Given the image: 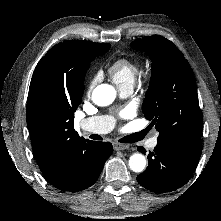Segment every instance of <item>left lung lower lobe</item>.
I'll return each mask as SVG.
<instances>
[{
	"label": "left lung lower lobe",
	"instance_id": "0a47b994",
	"mask_svg": "<svg viewBox=\"0 0 221 221\" xmlns=\"http://www.w3.org/2000/svg\"><path fill=\"white\" fill-rule=\"evenodd\" d=\"M138 151L145 153L141 146ZM202 152L201 143L157 141L148 155L147 169L136 177L144 188L166 193L180 188L191 178Z\"/></svg>",
	"mask_w": 221,
	"mask_h": 221
}]
</instances>
